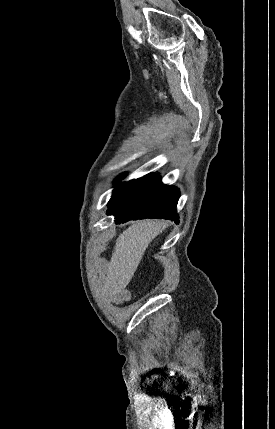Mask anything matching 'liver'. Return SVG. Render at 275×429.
<instances>
[{"mask_svg": "<svg viewBox=\"0 0 275 429\" xmlns=\"http://www.w3.org/2000/svg\"><path fill=\"white\" fill-rule=\"evenodd\" d=\"M165 225L159 220L137 221L119 235L106 277V285L113 293H120L126 288L148 244Z\"/></svg>", "mask_w": 275, "mask_h": 429, "instance_id": "1", "label": "liver"}]
</instances>
